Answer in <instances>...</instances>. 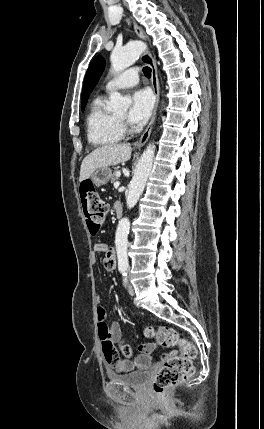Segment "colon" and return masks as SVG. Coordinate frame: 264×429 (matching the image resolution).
<instances>
[{
	"mask_svg": "<svg viewBox=\"0 0 264 429\" xmlns=\"http://www.w3.org/2000/svg\"><path fill=\"white\" fill-rule=\"evenodd\" d=\"M79 191L88 228L92 234H95L105 220L108 205L95 191L90 182L81 183ZM102 318L103 315L101 314ZM145 334L162 347L178 348L180 351L179 354L172 353L167 356L162 368L154 378V393L163 395L192 375V359L196 356V348L191 342L182 338L175 329L170 327L147 328ZM122 351L125 355L130 353L127 347H123ZM103 352L109 364H114L120 359L114 344L110 340L104 343Z\"/></svg>",
	"mask_w": 264,
	"mask_h": 429,
	"instance_id": "obj_1",
	"label": "colon"
}]
</instances>
